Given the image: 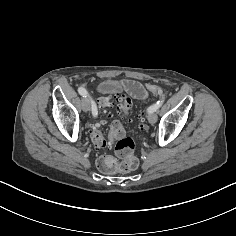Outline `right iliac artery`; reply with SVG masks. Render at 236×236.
I'll use <instances>...</instances> for the list:
<instances>
[{"mask_svg":"<svg viewBox=\"0 0 236 236\" xmlns=\"http://www.w3.org/2000/svg\"><path fill=\"white\" fill-rule=\"evenodd\" d=\"M78 92L83 97H86L88 95L87 91L83 87L78 88ZM92 113L94 116L97 115V108L94 102H92Z\"/></svg>","mask_w":236,"mask_h":236,"instance_id":"obj_1","label":"right iliac artery"}]
</instances>
